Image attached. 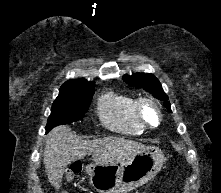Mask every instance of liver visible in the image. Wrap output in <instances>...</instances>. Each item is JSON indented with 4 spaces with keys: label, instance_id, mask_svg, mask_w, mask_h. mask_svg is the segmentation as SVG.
I'll list each match as a JSON object with an SVG mask.
<instances>
[{
    "label": "liver",
    "instance_id": "liver-1",
    "mask_svg": "<svg viewBox=\"0 0 221 193\" xmlns=\"http://www.w3.org/2000/svg\"><path fill=\"white\" fill-rule=\"evenodd\" d=\"M144 148V144L122 137L83 140L74 135L68 126L60 125L47 136L43 163L49 182L59 190L67 165L83 159L87 154L92 153L94 164L117 165Z\"/></svg>",
    "mask_w": 221,
    "mask_h": 193
}]
</instances>
